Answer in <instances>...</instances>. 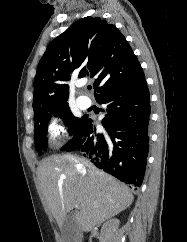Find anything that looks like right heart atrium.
<instances>
[{"mask_svg":"<svg viewBox=\"0 0 187 242\" xmlns=\"http://www.w3.org/2000/svg\"><path fill=\"white\" fill-rule=\"evenodd\" d=\"M64 134L63 126L58 122L54 121L49 126V135L53 141L59 140Z\"/></svg>","mask_w":187,"mask_h":242,"instance_id":"obj_1","label":"right heart atrium"}]
</instances>
